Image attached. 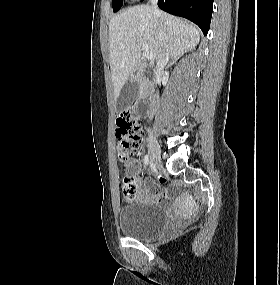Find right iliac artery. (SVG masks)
I'll return each mask as SVG.
<instances>
[{"label":"right iliac artery","instance_id":"1","mask_svg":"<svg viewBox=\"0 0 280 285\" xmlns=\"http://www.w3.org/2000/svg\"><path fill=\"white\" fill-rule=\"evenodd\" d=\"M143 160H144V165L147 166L148 163H149V157H148V155H145Z\"/></svg>","mask_w":280,"mask_h":285}]
</instances>
